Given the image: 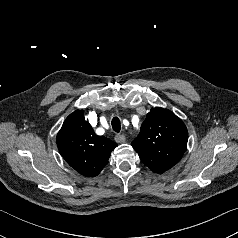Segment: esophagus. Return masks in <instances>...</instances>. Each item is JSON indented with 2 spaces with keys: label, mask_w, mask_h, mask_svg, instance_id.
<instances>
[{
  "label": "esophagus",
  "mask_w": 238,
  "mask_h": 238,
  "mask_svg": "<svg viewBox=\"0 0 238 238\" xmlns=\"http://www.w3.org/2000/svg\"><path fill=\"white\" fill-rule=\"evenodd\" d=\"M125 140H126L125 135H123V134H116L115 135V141L117 143H123V142H125Z\"/></svg>",
  "instance_id": "1"
}]
</instances>
